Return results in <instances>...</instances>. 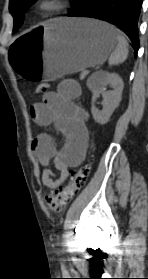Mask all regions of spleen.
Segmentation results:
<instances>
[{"label":"spleen","instance_id":"3e777b00","mask_svg":"<svg viewBox=\"0 0 148 279\" xmlns=\"http://www.w3.org/2000/svg\"><path fill=\"white\" fill-rule=\"evenodd\" d=\"M117 41L118 44L115 48V50L111 53L109 57V65H118L120 63H123L127 57H128V42L124 35L118 34L117 36ZM99 74L93 75L89 80H88V85L91 86L93 83V80L95 79L96 76Z\"/></svg>","mask_w":148,"mask_h":279}]
</instances>
